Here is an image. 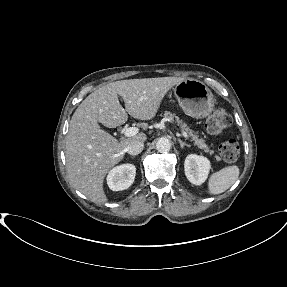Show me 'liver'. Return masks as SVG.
Wrapping results in <instances>:
<instances>
[{
  "instance_id": "1",
  "label": "liver",
  "mask_w": 287,
  "mask_h": 287,
  "mask_svg": "<svg viewBox=\"0 0 287 287\" xmlns=\"http://www.w3.org/2000/svg\"><path fill=\"white\" fill-rule=\"evenodd\" d=\"M185 80L158 77L121 80L100 87L86 97L74 112L66 136L65 156L71 185L96 204L107 202L103 189L106 174L124 157L133 140L145 141L141 132L120 142L102 130L116 128L128 120L155 117L168 91ZM118 95L125 102V109ZM148 125L142 124L146 129Z\"/></svg>"
}]
</instances>
